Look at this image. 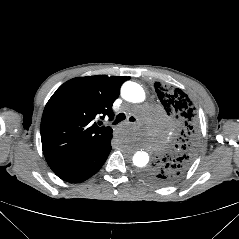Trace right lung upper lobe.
Masks as SVG:
<instances>
[{
	"label": "right lung upper lobe",
	"mask_w": 239,
	"mask_h": 239,
	"mask_svg": "<svg viewBox=\"0 0 239 239\" xmlns=\"http://www.w3.org/2000/svg\"><path fill=\"white\" fill-rule=\"evenodd\" d=\"M130 77L106 75L78 77L61 85L45 106L41 141L53 171L82 158L113 130L98 126L97 115L113 118L112 104Z\"/></svg>",
	"instance_id": "right-lung-upper-lobe-1"
}]
</instances>
